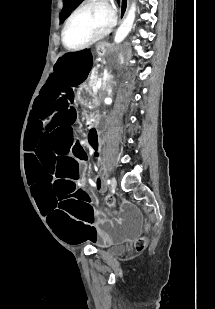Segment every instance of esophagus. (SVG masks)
I'll return each mask as SVG.
<instances>
[{
  "instance_id": "obj_1",
  "label": "esophagus",
  "mask_w": 215,
  "mask_h": 309,
  "mask_svg": "<svg viewBox=\"0 0 215 309\" xmlns=\"http://www.w3.org/2000/svg\"><path fill=\"white\" fill-rule=\"evenodd\" d=\"M129 2L130 0H121V5H120V13H119V20L120 22L124 19L128 7H129Z\"/></svg>"
}]
</instances>
